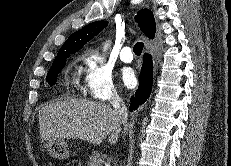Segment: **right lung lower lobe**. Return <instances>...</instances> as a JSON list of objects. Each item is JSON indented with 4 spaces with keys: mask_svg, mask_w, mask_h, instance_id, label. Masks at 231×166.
I'll return each mask as SVG.
<instances>
[{
    "mask_svg": "<svg viewBox=\"0 0 231 166\" xmlns=\"http://www.w3.org/2000/svg\"><path fill=\"white\" fill-rule=\"evenodd\" d=\"M153 83V67L150 54H144L143 65L140 73L139 88L135 92V97H131L130 110H136L149 97Z\"/></svg>",
    "mask_w": 231,
    "mask_h": 166,
    "instance_id": "98d812e1",
    "label": "right lung lower lobe"
}]
</instances>
